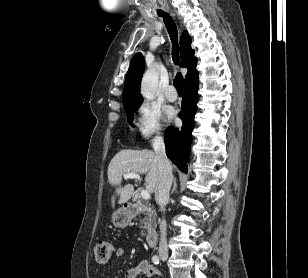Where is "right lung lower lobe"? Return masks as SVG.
I'll return each instance as SVG.
<instances>
[{
  "label": "right lung lower lobe",
  "instance_id": "right-lung-lower-lobe-1",
  "mask_svg": "<svg viewBox=\"0 0 308 278\" xmlns=\"http://www.w3.org/2000/svg\"><path fill=\"white\" fill-rule=\"evenodd\" d=\"M198 77L184 87L182 111L179 117L183 121L181 129L168 127L165 132V146L168 158L184 173L187 172L186 160L189 159L191 132L194 127V115L197 110Z\"/></svg>",
  "mask_w": 308,
  "mask_h": 278
}]
</instances>
